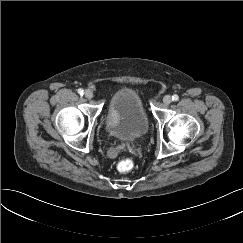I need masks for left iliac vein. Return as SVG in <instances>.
Wrapping results in <instances>:
<instances>
[{
    "label": "left iliac vein",
    "instance_id": "4c4485c4",
    "mask_svg": "<svg viewBox=\"0 0 243 243\" xmlns=\"http://www.w3.org/2000/svg\"><path fill=\"white\" fill-rule=\"evenodd\" d=\"M163 102H164V104L169 105L172 102L171 96L170 95L164 96Z\"/></svg>",
    "mask_w": 243,
    "mask_h": 243
}]
</instances>
